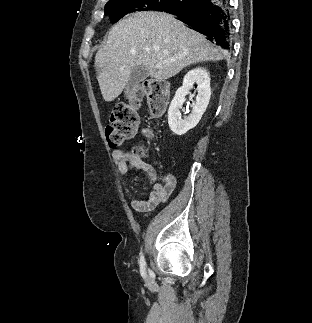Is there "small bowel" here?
Segmentation results:
<instances>
[{
    "label": "small bowel",
    "instance_id": "1",
    "mask_svg": "<svg viewBox=\"0 0 312 323\" xmlns=\"http://www.w3.org/2000/svg\"><path fill=\"white\" fill-rule=\"evenodd\" d=\"M119 173L122 176L130 172H144L147 174L153 188L147 199H131V208L141 212L147 217L156 205L165 201L176 186V179L172 174H164L159 180L158 172L154 165L146 163L138 155L124 150L113 153Z\"/></svg>",
    "mask_w": 312,
    "mask_h": 323
}]
</instances>
